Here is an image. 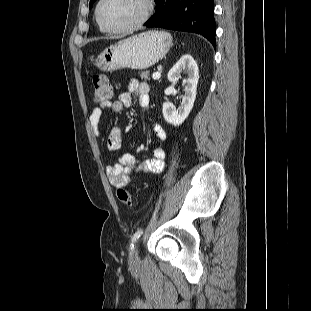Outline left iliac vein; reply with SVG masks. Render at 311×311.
<instances>
[{"label":"left iliac vein","instance_id":"4c4485c4","mask_svg":"<svg viewBox=\"0 0 311 311\" xmlns=\"http://www.w3.org/2000/svg\"><path fill=\"white\" fill-rule=\"evenodd\" d=\"M129 260L132 263H138L139 262V255H138V246L135 245V247L132 249Z\"/></svg>","mask_w":311,"mask_h":311}]
</instances>
